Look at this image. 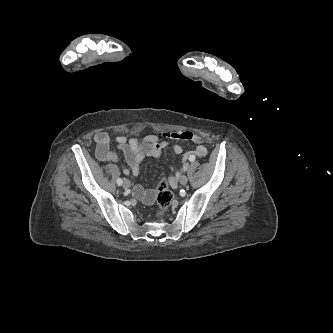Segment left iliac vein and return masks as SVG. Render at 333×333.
<instances>
[{
	"instance_id": "left-iliac-vein-1",
	"label": "left iliac vein",
	"mask_w": 333,
	"mask_h": 333,
	"mask_svg": "<svg viewBox=\"0 0 333 333\" xmlns=\"http://www.w3.org/2000/svg\"><path fill=\"white\" fill-rule=\"evenodd\" d=\"M179 182L181 185H186L188 182V178L185 175H181L179 178Z\"/></svg>"
}]
</instances>
